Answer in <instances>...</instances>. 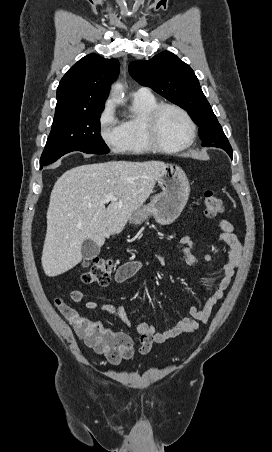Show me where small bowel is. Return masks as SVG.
Masks as SVG:
<instances>
[{
	"label": "small bowel",
	"mask_w": 272,
	"mask_h": 452,
	"mask_svg": "<svg viewBox=\"0 0 272 452\" xmlns=\"http://www.w3.org/2000/svg\"><path fill=\"white\" fill-rule=\"evenodd\" d=\"M220 228L221 233L219 234L218 239L226 248V259L222 265V275L216 289L206 299L201 308L192 306L190 315L180 319L169 330L157 332L154 326L146 322L137 323L134 326V330L140 338L141 353H146L155 344H161L181 334L191 333L197 330L199 324L208 322L214 307L224 297L225 291L231 284L236 270L242 263L243 248L239 239L233 232L232 225L228 221L222 220L220 222ZM179 245L185 261L191 266H197L199 261L192 253V250L196 247L193 239L189 235H183L179 239ZM143 267L144 263L142 261H127L117 268L114 279L117 283H124L135 276ZM83 298L84 295L81 290L76 289L71 292V299L73 302L80 303L83 301ZM84 306L89 310L108 312L118 318L126 328H130L131 326L126 310L120 304H99L95 301H86ZM63 314L73 327L75 333L96 351L102 352V350L97 347V344L101 341L102 337L111 336L118 342L123 351L127 353V357L132 354L133 341L129 333L105 327L102 322L80 315L72 307L70 312Z\"/></svg>",
	"instance_id": "obj_1"
}]
</instances>
